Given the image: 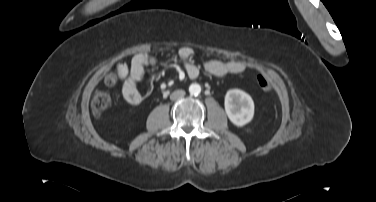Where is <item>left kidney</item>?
I'll return each mask as SVG.
<instances>
[{"instance_id": "1", "label": "left kidney", "mask_w": 376, "mask_h": 202, "mask_svg": "<svg viewBox=\"0 0 376 202\" xmlns=\"http://www.w3.org/2000/svg\"><path fill=\"white\" fill-rule=\"evenodd\" d=\"M225 111L236 126L249 123L254 116V102L249 94L239 89H231L225 95Z\"/></svg>"}]
</instances>
